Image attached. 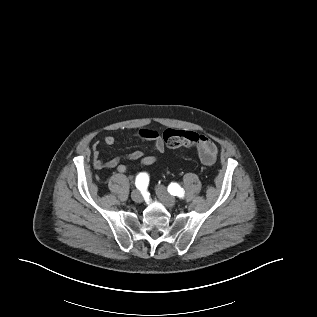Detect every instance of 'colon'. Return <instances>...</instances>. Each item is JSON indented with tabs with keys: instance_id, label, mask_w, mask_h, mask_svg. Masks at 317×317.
I'll use <instances>...</instances> for the list:
<instances>
[{
	"instance_id": "5ec220e1",
	"label": "colon",
	"mask_w": 317,
	"mask_h": 317,
	"mask_svg": "<svg viewBox=\"0 0 317 317\" xmlns=\"http://www.w3.org/2000/svg\"><path fill=\"white\" fill-rule=\"evenodd\" d=\"M161 138L168 148L177 149L196 145L199 141V134L193 131L166 129Z\"/></svg>"
}]
</instances>
